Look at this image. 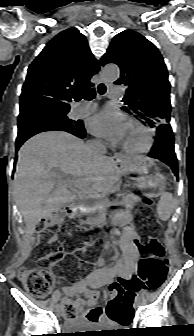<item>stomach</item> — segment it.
Masks as SVG:
<instances>
[{
    "instance_id": "stomach-1",
    "label": "stomach",
    "mask_w": 194,
    "mask_h": 336,
    "mask_svg": "<svg viewBox=\"0 0 194 336\" xmlns=\"http://www.w3.org/2000/svg\"><path fill=\"white\" fill-rule=\"evenodd\" d=\"M118 163L123 168V173L137 174V186L145 190L149 196L157 197L164 193L166 182L165 178L159 173L155 164L146 157H133L129 163L122 162L119 158Z\"/></svg>"
}]
</instances>
